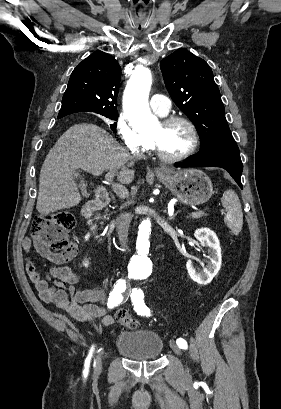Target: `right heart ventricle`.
Here are the masks:
<instances>
[{
    "label": "right heart ventricle",
    "mask_w": 281,
    "mask_h": 409,
    "mask_svg": "<svg viewBox=\"0 0 281 409\" xmlns=\"http://www.w3.org/2000/svg\"><path fill=\"white\" fill-rule=\"evenodd\" d=\"M144 148H145V144H144V141L142 140L141 145L138 148L134 149V151L135 152H140V151L144 150Z\"/></svg>",
    "instance_id": "1"
}]
</instances>
